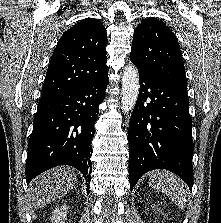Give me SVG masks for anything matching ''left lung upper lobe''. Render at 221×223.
Returning <instances> with one entry per match:
<instances>
[{
	"label": "left lung upper lobe",
	"instance_id": "left-lung-upper-lobe-1",
	"mask_svg": "<svg viewBox=\"0 0 221 223\" xmlns=\"http://www.w3.org/2000/svg\"><path fill=\"white\" fill-rule=\"evenodd\" d=\"M130 59L139 71L187 87L179 43L158 19L147 18L136 27Z\"/></svg>",
	"mask_w": 221,
	"mask_h": 223
}]
</instances>
